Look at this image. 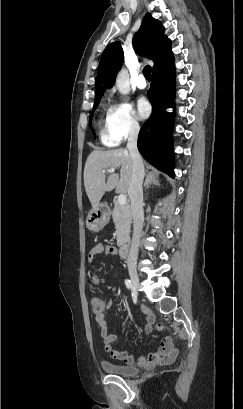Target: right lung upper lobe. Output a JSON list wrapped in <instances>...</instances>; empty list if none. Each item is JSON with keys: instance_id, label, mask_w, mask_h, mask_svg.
<instances>
[{"instance_id": "1", "label": "right lung upper lobe", "mask_w": 243, "mask_h": 409, "mask_svg": "<svg viewBox=\"0 0 243 409\" xmlns=\"http://www.w3.org/2000/svg\"><path fill=\"white\" fill-rule=\"evenodd\" d=\"M162 23L147 13L141 27L133 37V46L139 55H146L154 61V66L171 52V42L164 35ZM123 63V50L119 42L109 44L101 56L95 81V99L101 98L115 83L116 75Z\"/></svg>"}]
</instances>
